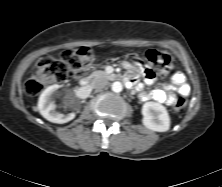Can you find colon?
Listing matches in <instances>:
<instances>
[{
    "label": "colon",
    "instance_id": "5ec220e1",
    "mask_svg": "<svg viewBox=\"0 0 222 187\" xmlns=\"http://www.w3.org/2000/svg\"><path fill=\"white\" fill-rule=\"evenodd\" d=\"M144 58L152 66V69L148 70L152 76L169 71L173 65L172 58L167 53L155 49L147 50ZM91 63L92 53L88 49L65 51L60 59L43 56L38 60L34 73L26 83V92L35 96L52 83L68 78L80 79L88 71ZM187 103L186 97L179 96L173 104V111L182 113Z\"/></svg>",
    "mask_w": 222,
    "mask_h": 187
}]
</instances>
